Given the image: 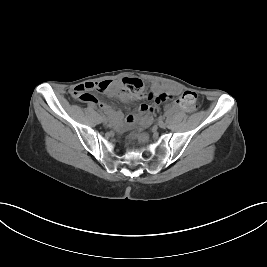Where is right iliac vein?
Returning a JSON list of instances; mask_svg holds the SVG:
<instances>
[{"label": "right iliac vein", "instance_id": "63e3f726", "mask_svg": "<svg viewBox=\"0 0 267 267\" xmlns=\"http://www.w3.org/2000/svg\"><path fill=\"white\" fill-rule=\"evenodd\" d=\"M102 121L107 122L108 119L106 117H102Z\"/></svg>", "mask_w": 267, "mask_h": 267}]
</instances>
